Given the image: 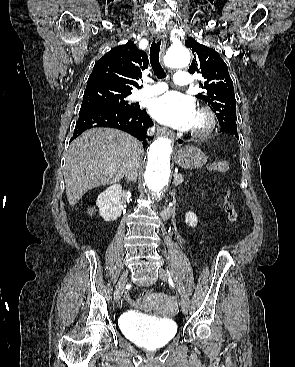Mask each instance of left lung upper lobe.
I'll return each mask as SVG.
<instances>
[{
	"label": "left lung upper lobe",
	"instance_id": "5c2ea615",
	"mask_svg": "<svg viewBox=\"0 0 295 367\" xmlns=\"http://www.w3.org/2000/svg\"><path fill=\"white\" fill-rule=\"evenodd\" d=\"M185 46L192 49L194 59L189 67L190 73H200L203 79L199 85L204 89L196 97L205 103L216 114L221 127L236 124V100L233 82L229 76L226 63L214 50L189 37Z\"/></svg>",
	"mask_w": 295,
	"mask_h": 367
}]
</instances>
